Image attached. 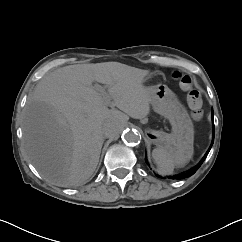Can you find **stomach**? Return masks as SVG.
<instances>
[{
	"mask_svg": "<svg viewBox=\"0 0 242 242\" xmlns=\"http://www.w3.org/2000/svg\"><path fill=\"white\" fill-rule=\"evenodd\" d=\"M150 104L153 110L167 118L172 126V133L148 129L149 140L158 148L167 151H180V159L190 160L193 153L194 128L186 108L176 94L165 84L149 87Z\"/></svg>",
	"mask_w": 242,
	"mask_h": 242,
	"instance_id": "1",
	"label": "stomach"
}]
</instances>
